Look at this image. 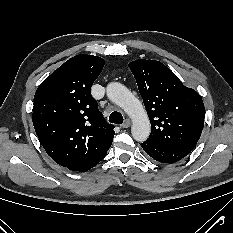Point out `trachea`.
<instances>
[{
	"label": "trachea",
	"instance_id": "3493384b",
	"mask_svg": "<svg viewBox=\"0 0 233 233\" xmlns=\"http://www.w3.org/2000/svg\"><path fill=\"white\" fill-rule=\"evenodd\" d=\"M124 121L123 116L121 113L114 111L109 116V122L115 123V124H122Z\"/></svg>",
	"mask_w": 233,
	"mask_h": 233
}]
</instances>
